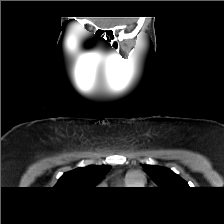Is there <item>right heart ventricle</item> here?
Returning <instances> with one entry per match:
<instances>
[{
	"label": "right heart ventricle",
	"mask_w": 224,
	"mask_h": 224,
	"mask_svg": "<svg viewBox=\"0 0 224 224\" xmlns=\"http://www.w3.org/2000/svg\"><path fill=\"white\" fill-rule=\"evenodd\" d=\"M125 183L128 185V186H136L138 185L140 182L136 181L133 177H128L125 181Z\"/></svg>",
	"instance_id": "obj_1"
}]
</instances>
